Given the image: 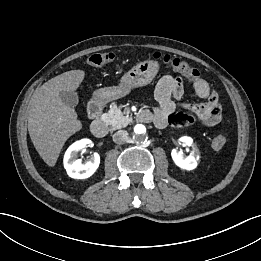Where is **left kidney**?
Listing matches in <instances>:
<instances>
[{"label":"left kidney","mask_w":261,"mask_h":261,"mask_svg":"<svg viewBox=\"0 0 261 261\" xmlns=\"http://www.w3.org/2000/svg\"><path fill=\"white\" fill-rule=\"evenodd\" d=\"M180 141L188 146H192L193 151L190 153V155L185 156L182 151L173 149L171 152L172 159L174 163L181 169L193 170L197 167L198 161L200 159V151L197 146L193 144L192 138L185 136L182 137Z\"/></svg>","instance_id":"1"}]
</instances>
